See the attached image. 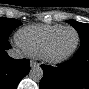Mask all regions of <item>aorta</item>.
<instances>
[{"mask_svg": "<svg viewBox=\"0 0 89 89\" xmlns=\"http://www.w3.org/2000/svg\"><path fill=\"white\" fill-rule=\"evenodd\" d=\"M43 70L40 66H33L29 72V76L34 81H40L43 78Z\"/></svg>", "mask_w": 89, "mask_h": 89, "instance_id": "aorta-1", "label": "aorta"}]
</instances>
